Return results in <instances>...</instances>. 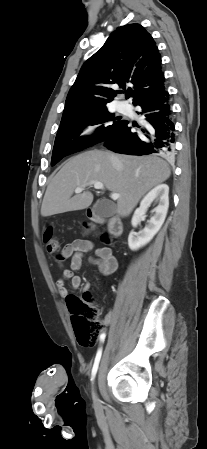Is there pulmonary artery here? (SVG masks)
<instances>
[{"label": "pulmonary artery", "instance_id": "pulmonary-artery-1", "mask_svg": "<svg viewBox=\"0 0 207 449\" xmlns=\"http://www.w3.org/2000/svg\"><path fill=\"white\" fill-rule=\"evenodd\" d=\"M118 109H119L120 111H125V110H126V107H125V105H123V104H119V105H118Z\"/></svg>", "mask_w": 207, "mask_h": 449}]
</instances>
